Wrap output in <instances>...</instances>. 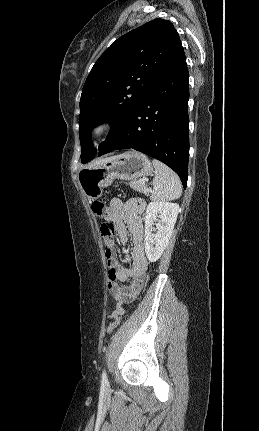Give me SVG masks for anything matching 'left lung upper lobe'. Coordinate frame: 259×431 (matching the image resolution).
<instances>
[{
	"label": "left lung upper lobe",
	"mask_w": 259,
	"mask_h": 431,
	"mask_svg": "<svg viewBox=\"0 0 259 431\" xmlns=\"http://www.w3.org/2000/svg\"><path fill=\"white\" fill-rule=\"evenodd\" d=\"M181 48L173 24L156 18L118 38L99 57L86 79L80 100L82 163L96 154L90 146L93 127L109 120L112 128L106 141L109 140Z\"/></svg>",
	"instance_id": "1"
}]
</instances>
